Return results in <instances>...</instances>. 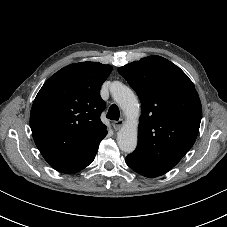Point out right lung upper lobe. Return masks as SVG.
<instances>
[{
  "mask_svg": "<svg viewBox=\"0 0 227 227\" xmlns=\"http://www.w3.org/2000/svg\"><path fill=\"white\" fill-rule=\"evenodd\" d=\"M111 71L110 65L97 62L71 64L38 92L30 126L37 148L55 170L75 173L94 160L108 133L100 120L105 108L100 88Z\"/></svg>",
  "mask_w": 227,
  "mask_h": 227,
  "instance_id": "cb5924a9",
  "label": "right lung upper lobe"
}]
</instances>
